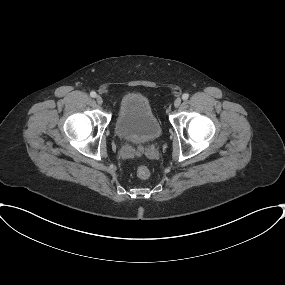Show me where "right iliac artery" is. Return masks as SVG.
Returning a JSON list of instances; mask_svg holds the SVG:
<instances>
[{
  "instance_id": "82829eb1",
  "label": "right iliac artery",
  "mask_w": 285,
  "mask_h": 285,
  "mask_svg": "<svg viewBox=\"0 0 285 285\" xmlns=\"http://www.w3.org/2000/svg\"><path fill=\"white\" fill-rule=\"evenodd\" d=\"M96 95H97L96 92H94V91L90 92V96H91V97L94 98V97H96Z\"/></svg>"
}]
</instances>
